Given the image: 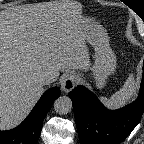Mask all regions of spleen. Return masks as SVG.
<instances>
[{"instance_id":"spleen-1","label":"spleen","mask_w":144,"mask_h":144,"mask_svg":"<svg viewBox=\"0 0 144 144\" xmlns=\"http://www.w3.org/2000/svg\"><path fill=\"white\" fill-rule=\"evenodd\" d=\"M139 84L133 73L129 75L123 87L110 98L100 97L101 102L109 109H117L132 100L136 95Z\"/></svg>"}]
</instances>
